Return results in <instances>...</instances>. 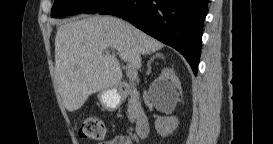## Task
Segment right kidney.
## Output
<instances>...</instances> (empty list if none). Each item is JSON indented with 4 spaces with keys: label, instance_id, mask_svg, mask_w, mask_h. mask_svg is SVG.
Listing matches in <instances>:
<instances>
[{
    "label": "right kidney",
    "instance_id": "1",
    "mask_svg": "<svg viewBox=\"0 0 273 144\" xmlns=\"http://www.w3.org/2000/svg\"><path fill=\"white\" fill-rule=\"evenodd\" d=\"M153 85L159 88V96L164 101H171L177 98V89L181 88L174 71L169 68L162 70L161 75L154 80ZM179 121L176 116L160 117L155 121V128L162 137H166L178 127Z\"/></svg>",
    "mask_w": 273,
    "mask_h": 144
}]
</instances>
